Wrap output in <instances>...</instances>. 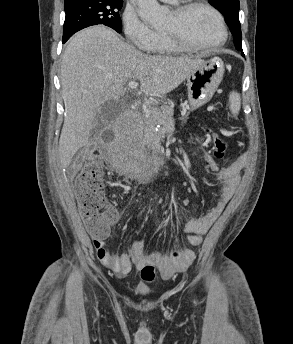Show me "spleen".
<instances>
[{"mask_svg":"<svg viewBox=\"0 0 293 344\" xmlns=\"http://www.w3.org/2000/svg\"><path fill=\"white\" fill-rule=\"evenodd\" d=\"M229 107L234 117L239 113L241 107L240 95L237 92H231L229 95Z\"/></svg>","mask_w":293,"mask_h":344,"instance_id":"spleen-1","label":"spleen"}]
</instances>
